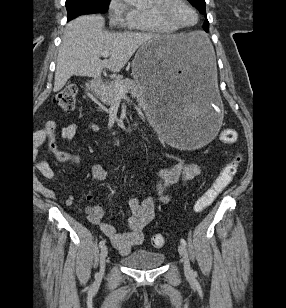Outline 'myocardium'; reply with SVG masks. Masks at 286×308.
Segmentation results:
<instances>
[{
    "label": "myocardium",
    "mask_w": 286,
    "mask_h": 308,
    "mask_svg": "<svg viewBox=\"0 0 286 308\" xmlns=\"http://www.w3.org/2000/svg\"><path fill=\"white\" fill-rule=\"evenodd\" d=\"M174 3H182L191 9L196 15V21L191 25H182L177 22L172 16V6ZM152 13L160 20L178 28L189 29L197 25L199 21L198 11L187 0H160L158 3L153 4L150 8Z\"/></svg>",
    "instance_id": "myocardium-1"
}]
</instances>
